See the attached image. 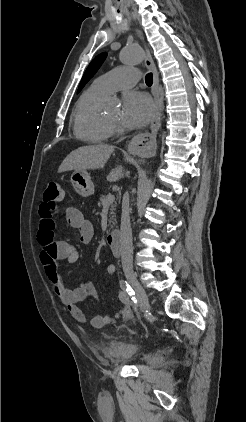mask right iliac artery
<instances>
[{"label": "right iliac artery", "instance_id": "1", "mask_svg": "<svg viewBox=\"0 0 246 422\" xmlns=\"http://www.w3.org/2000/svg\"><path fill=\"white\" fill-rule=\"evenodd\" d=\"M120 287L123 291H125L131 297V300L134 303V309L136 311L137 310V297H136L134 290L131 288V286L125 280L120 281Z\"/></svg>", "mask_w": 246, "mask_h": 422}]
</instances>
